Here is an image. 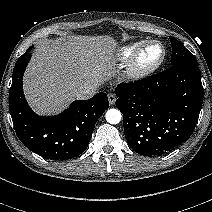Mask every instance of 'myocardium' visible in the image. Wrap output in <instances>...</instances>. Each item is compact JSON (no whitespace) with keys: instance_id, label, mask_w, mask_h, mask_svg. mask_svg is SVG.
<instances>
[{"instance_id":"1","label":"myocardium","mask_w":212,"mask_h":212,"mask_svg":"<svg viewBox=\"0 0 212 212\" xmlns=\"http://www.w3.org/2000/svg\"><path fill=\"white\" fill-rule=\"evenodd\" d=\"M151 46H158L161 50L160 56L149 64L141 63L142 54ZM166 51L159 41H147L140 44L129 59L127 74L132 79H142L154 73L163 63Z\"/></svg>"}]
</instances>
